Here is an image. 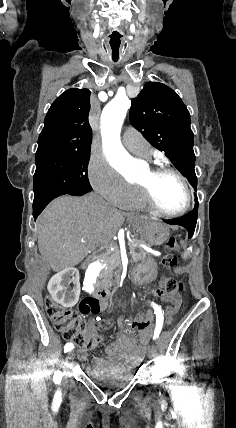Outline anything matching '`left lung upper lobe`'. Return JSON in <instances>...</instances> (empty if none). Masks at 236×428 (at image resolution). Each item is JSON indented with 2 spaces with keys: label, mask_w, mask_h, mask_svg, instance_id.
<instances>
[{
  "label": "left lung upper lobe",
  "mask_w": 236,
  "mask_h": 428,
  "mask_svg": "<svg viewBox=\"0 0 236 428\" xmlns=\"http://www.w3.org/2000/svg\"><path fill=\"white\" fill-rule=\"evenodd\" d=\"M129 117L131 124L152 146L164 151L196 189L190 116L176 92L159 82L146 83L132 100Z\"/></svg>",
  "instance_id": "1"
}]
</instances>
